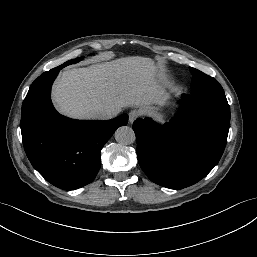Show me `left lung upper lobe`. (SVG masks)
I'll use <instances>...</instances> for the list:
<instances>
[{
	"label": "left lung upper lobe",
	"mask_w": 257,
	"mask_h": 257,
	"mask_svg": "<svg viewBox=\"0 0 257 257\" xmlns=\"http://www.w3.org/2000/svg\"><path fill=\"white\" fill-rule=\"evenodd\" d=\"M192 73L191 94H216L225 95L222 86L213 77L204 74L203 72L190 67Z\"/></svg>",
	"instance_id": "1"
}]
</instances>
